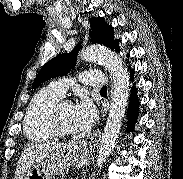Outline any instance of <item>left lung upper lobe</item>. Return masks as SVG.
I'll list each match as a JSON object with an SVG mask.
<instances>
[{
	"label": "left lung upper lobe",
	"mask_w": 183,
	"mask_h": 179,
	"mask_svg": "<svg viewBox=\"0 0 183 179\" xmlns=\"http://www.w3.org/2000/svg\"><path fill=\"white\" fill-rule=\"evenodd\" d=\"M91 28L89 31L90 42L100 44L111 49H116L118 40H114L113 28L108 26L104 18H91ZM81 44L76 45L75 49L69 54H59L57 57L47 62L39 71L37 78L32 84V89L40 86L41 83L55 76L66 75L75 66L76 55L81 48Z\"/></svg>",
	"instance_id": "obj_1"
}]
</instances>
